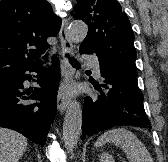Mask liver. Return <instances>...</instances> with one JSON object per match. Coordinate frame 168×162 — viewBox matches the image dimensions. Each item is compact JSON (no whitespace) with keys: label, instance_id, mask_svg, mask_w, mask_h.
<instances>
[{"label":"liver","instance_id":"6515ba94","mask_svg":"<svg viewBox=\"0 0 168 162\" xmlns=\"http://www.w3.org/2000/svg\"><path fill=\"white\" fill-rule=\"evenodd\" d=\"M27 147L20 133L0 127V162H19Z\"/></svg>","mask_w":168,"mask_h":162}]
</instances>
